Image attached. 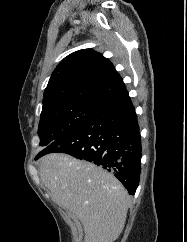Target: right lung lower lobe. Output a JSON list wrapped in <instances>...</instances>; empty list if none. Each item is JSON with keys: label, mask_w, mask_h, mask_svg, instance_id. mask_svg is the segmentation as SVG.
I'll return each instance as SVG.
<instances>
[{"label": "right lung lower lobe", "mask_w": 187, "mask_h": 242, "mask_svg": "<svg viewBox=\"0 0 187 242\" xmlns=\"http://www.w3.org/2000/svg\"><path fill=\"white\" fill-rule=\"evenodd\" d=\"M53 152L102 166L134 195L141 172V138L129 95L104 106L96 116L48 145L36 159Z\"/></svg>", "instance_id": "obj_1"}]
</instances>
